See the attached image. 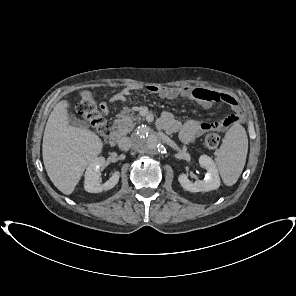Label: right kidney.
I'll use <instances>...</instances> for the list:
<instances>
[{
  "label": "right kidney",
  "instance_id": "obj_1",
  "mask_svg": "<svg viewBox=\"0 0 296 296\" xmlns=\"http://www.w3.org/2000/svg\"><path fill=\"white\" fill-rule=\"evenodd\" d=\"M105 158H95L87 167L85 172L84 188L89 193H99L115 187L119 181L120 173L115 171L108 181L101 183L100 168L104 166Z\"/></svg>",
  "mask_w": 296,
  "mask_h": 296
}]
</instances>
